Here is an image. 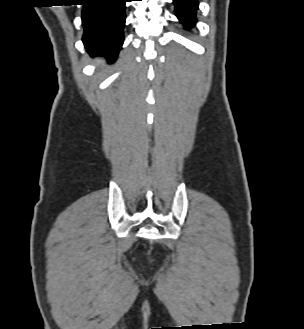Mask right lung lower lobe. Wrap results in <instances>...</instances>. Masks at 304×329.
<instances>
[{"label":"right lung lower lobe","instance_id":"98d812e1","mask_svg":"<svg viewBox=\"0 0 304 329\" xmlns=\"http://www.w3.org/2000/svg\"><path fill=\"white\" fill-rule=\"evenodd\" d=\"M83 43L92 55L114 61L124 42L127 0H83Z\"/></svg>","mask_w":304,"mask_h":329}]
</instances>
